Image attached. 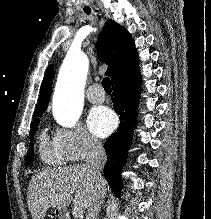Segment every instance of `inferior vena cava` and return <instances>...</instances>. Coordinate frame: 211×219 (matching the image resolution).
<instances>
[{
  "mask_svg": "<svg viewBox=\"0 0 211 219\" xmlns=\"http://www.w3.org/2000/svg\"><path fill=\"white\" fill-rule=\"evenodd\" d=\"M88 153L86 157V168L94 183L95 197L92 204L87 209L86 219H98L104 193L105 180L102 170L106 163L107 156L102 144L95 139H89Z\"/></svg>",
  "mask_w": 211,
  "mask_h": 219,
  "instance_id": "602c4592",
  "label": "inferior vena cava"
}]
</instances>
